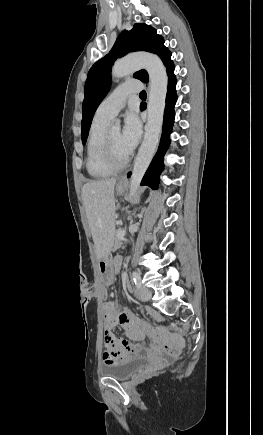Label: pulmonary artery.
I'll return each instance as SVG.
<instances>
[{
  "label": "pulmonary artery",
  "mask_w": 263,
  "mask_h": 435,
  "mask_svg": "<svg viewBox=\"0 0 263 435\" xmlns=\"http://www.w3.org/2000/svg\"><path fill=\"white\" fill-rule=\"evenodd\" d=\"M142 87V83L138 80H131L119 85L102 101L95 116L111 121L125 106L128 95L140 92Z\"/></svg>",
  "instance_id": "obj_1"
}]
</instances>
